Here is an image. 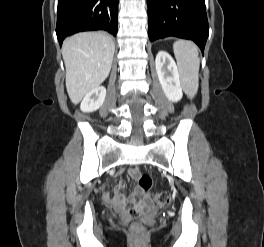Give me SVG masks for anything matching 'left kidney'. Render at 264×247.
Instances as JSON below:
<instances>
[{"label":"left kidney","instance_id":"1","mask_svg":"<svg viewBox=\"0 0 264 247\" xmlns=\"http://www.w3.org/2000/svg\"><path fill=\"white\" fill-rule=\"evenodd\" d=\"M155 66L166 97L172 102H178L183 92L175 61L167 52L159 51L156 55Z\"/></svg>","mask_w":264,"mask_h":247}]
</instances>
